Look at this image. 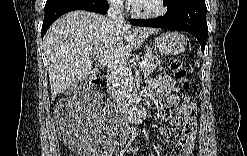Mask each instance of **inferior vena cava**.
<instances>
[{"instance_id": "602c4592", "label": "inferior vena cava", "mask_w": 247, "mask_h": 156, "mask_svg": "<svg viewBox=\"0 0 247 156\" xmlns=\"http://www.w3.org/2000/svg\"><path fill=\"white\" fill-rule=\"evenodd\" d=\"M107 16L115 23L124 24L125 20L123 17V2L120 0L111 1Z\"/></svg>"}]
</instances>
